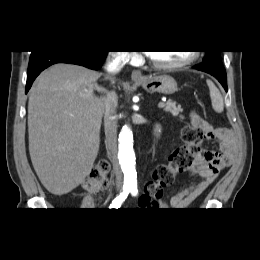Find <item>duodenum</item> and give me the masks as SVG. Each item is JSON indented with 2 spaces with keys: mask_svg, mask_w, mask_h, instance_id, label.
Listing matches in <instances>:
<instances>
[{
  "mask_svg": "<svg viewBox=\"0 0 260 260\" xmlns=\"http://www.w3.org/2000/svg\"><path fill=\"white\" fill-rule=\"evenodd\" d=\"M161 134V126L159 124L153 125L152 132H151V139L153 142H156Z\"/></svg>",
  "mask_w": 260,
  "mask_h": 260,
  "instance_id": "obj_1",
  "label": "duodenum"
}]
</instances>
